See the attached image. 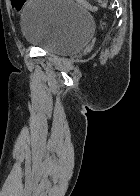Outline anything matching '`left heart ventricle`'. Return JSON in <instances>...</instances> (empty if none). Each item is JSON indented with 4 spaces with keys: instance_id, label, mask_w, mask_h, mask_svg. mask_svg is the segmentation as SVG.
Listing matches in <instances>:
<instances>
[{
    "instance_id": "1",
    "label": "left heart ventricle",
    "mask_w": 140,
    "mask_h": 196,
    "mask_svg": "<svg viewBox=\"0 0 140 196\" xmlns=\"http://www.w3.org/2000/svg\"><path fill=\"white\" fill-rule=\"evenodd\" d=\"M45 192H56V191H45Z\"/></svg>"
}]
</instances>
